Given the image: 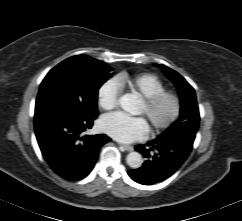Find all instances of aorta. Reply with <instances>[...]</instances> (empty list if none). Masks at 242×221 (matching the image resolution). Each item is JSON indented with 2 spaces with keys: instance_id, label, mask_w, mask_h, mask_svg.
Listing matches in <instances>:
<instances>
[{
  "instance_id": "obj_1",
  "label": "aorta",
  "mask_w": 242,
  "mask_h": 221,
  "mask_svg": "<svg viewBox=\"0 0 242 221\" xmlns=\"http://www.w3.org/2000/svg\"><path fill=\"white\" fill-rule=\"evenodd\" d=\"M137 104V99L132 94H126L120 98V106L123 110L132 112ZM126 163L133 169L140 168L143 163V159L140 153L131 152L126 157Z\"/></svg>"
}]
</instances>
